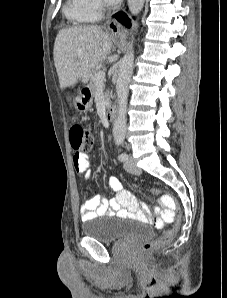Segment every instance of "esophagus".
<instances>
[{
    "mask_svg": "<svg viewBox=\"0 0 227 298\" xmlns=\"http://www.w3.org/2000/svg\"><path fill=\"white\" fill-rule=\"evenodd\" d=\"M107 27L112 32H119L121 29V25L115 19H111L107 23Z\"/></svg>",
    "mask_w": 227,
    "mask_h": 298,
    "instance_id": "esophagus-1",
    "label": "esophagus"
}]
</instances>
